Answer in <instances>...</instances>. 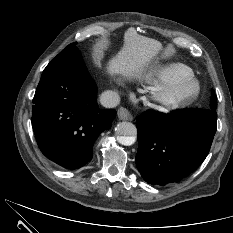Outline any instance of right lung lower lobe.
Wrapping results in <instances>:
<instances>
[{
	"label": "right lung lower lobe",
	"mask_w": 233,
	"mask_h": 233,
	"mask_svg": "<svg viewBox=\"0 0 233 233\" xmlns=\"http://www.w3.org/2000/svg\"><path fill=\"white\" fill-rule=\"evenodd\" d=\"M96 94L81 55L56 56L44 69L33 98L32 127L48 159L71 170L92 159L95 140L116 114L99 109Z\"/></svg>",
	"instance_id": "98d812e1"
}]
</instances>
